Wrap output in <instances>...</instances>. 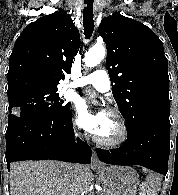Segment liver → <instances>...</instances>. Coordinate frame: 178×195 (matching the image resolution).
<instances>
[{
  "label": "liver",
  "mask_w": 178,
  "mask_h": 195,
  "mask_svg": "<svg viewBox=\"0 0 178 195\" xmlns=\"http://www.w3.org/2000/svg\"><path fill=\"white\" fill-rule=\"evenodd\" d=\"M71 164L52 160L15 162L11 165V195H81L90 186L93 175L79 165L73 176Z\"/></svg>",
  "instance_id": "6515ba94"
}]
</instances>
